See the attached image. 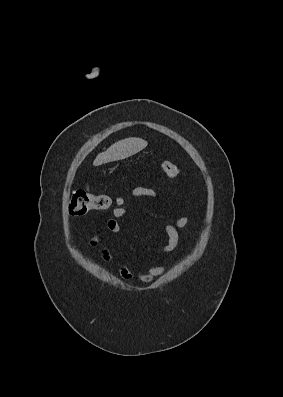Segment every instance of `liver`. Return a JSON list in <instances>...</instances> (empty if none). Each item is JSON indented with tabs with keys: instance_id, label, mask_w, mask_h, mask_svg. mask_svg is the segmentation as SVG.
I'll return each mask as SVG.
<instances>
[{
	"instance_id": "6515ba94",
	"label": "liver",
	"mask_w": 283,
	"mask_h": 397,
	"mask_svg": "<svg viewBox=\"0 0 283 397\" xmlns=\"http://www.w3.org/2000/svg\"><path fill=\"white\" fill-rule=\"evenodd\" d=\"M141 138H125L111 145L106 151L99 153L93 161L94 166H100L116 160L128 158L147 146Z\"/></svg>"
}]
</instances>
